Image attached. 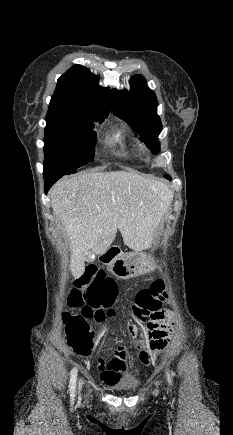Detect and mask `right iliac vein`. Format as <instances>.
<instances>
[{
  "mask_svg": "<svg viewBox=\"0 0 233 435\" xmlns=\"http://www.w3.org/2000/svg\"><path fill=\"white\" fill-rule=\"evenodd\" d=\"M82 382H83L82 380L79 381V390H80L81 387H82Z\"/></svg>",
  "mask_w": 233,
  "mask_h": 435,
  "instance_id": "right-iliac-vein-1",
  "label": "right iliac vein"
}]
</instances>
